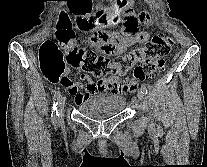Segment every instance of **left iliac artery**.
<instances>
[{
    "label": "left iliac artery",
    "instance_id": "left-iliac-artery-1",
    "mask_svg": "<svg viewBox=\"0 0 207 167\" xmlns=\"http://www.w3.org/2000/svg\"><path fill=\"white\" fill-rule=\"evenodd\" d=\"M141 92H142L143 94H147V93H148V90H147V88H146L145 85H141Z\"/></svg>",
    "mask_w": 207,
    "mask_h": 167
}]
</instances>
